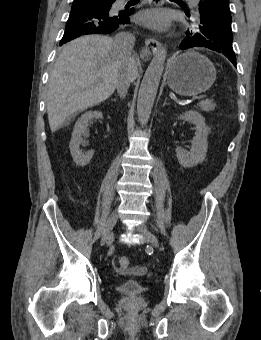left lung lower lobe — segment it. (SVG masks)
Instances as JSON below:
<instances>
[{
    "instance_id": "left-lung-lower-lobe-1",
    "label": "left lung lower lobe",
    "mask_w": 261,
    "mask_h": 340,
    "mask_svg": "<svg viewBox=\"0 0 261 340\" xmlns=\"http://www.w3.org/2000/svg\"><path fill=\"white\" fill-rule=\"evenodd\" d=\"M199 13L200 20L204 22L212 20L217 13H223L228 18H231L229 3L221 0L202 1L200 4ZM195 46H198L197 38L186 36V38L182 41L180 48L187 49ZM221 53L224 54L233 63L234 66H236V56L233 49L222 50Z\"/></svg>"
}]
</instances>
